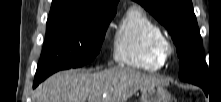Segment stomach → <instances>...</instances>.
<instances>
[{"label":"stomach","instance_id":"0dacf381","mask_svg":"<svg viewBox=\"0 0 221 102\" xmlns=\"http://www.w3.org/2000/svg\"><path fill=\"white\" fill-rule=\"evenodd\" d=\"M170 93L160 84L144 87L140 102H170Z\"/></svg>","mask_w":221,"mask_h":102}]
</instances>
